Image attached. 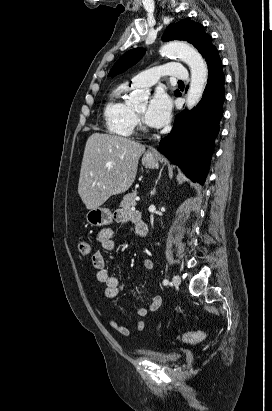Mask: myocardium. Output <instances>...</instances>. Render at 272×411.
Listing matches in <instances>:
<instances>
[{
  "label": "myocardium",
  "instance_id": "myocardium-1",
  "mask_svg": "<svg viewBox=\"0 0 272 411\" xmlns=\"http://www.w3.org/2000/svg\"><path fill=\"white\" fill-rule=\"evenodd\" d=\"M133 116L135 123L138 125V129L143 133H149V129L143 124L141 116L138 115L135 110H133Z\"/></svg>",
  "mask_w": 272,
  "mask_h": 411
}]
</instances>
